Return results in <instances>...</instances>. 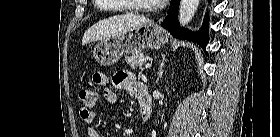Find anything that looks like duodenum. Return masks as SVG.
Wrapping results in <instances>:
<instances>
[{
	"label": "duodenum",
	"mask_w": 280,
	"mask_h": 137,
	"mask_svg": "<svg viewBox=\"0 0 280 137\" xmlns=\"http://www.w3.org/2000/svg\"><path fill=\"white\" fill-rule=\"evenodd\" d=\"M137 99L140 105V115L144 121H148L153 114L151 96L147 85L140 84L137 90Z\"/></svg>",
	"instance_id": "410a0bca"
}]
</instances>
